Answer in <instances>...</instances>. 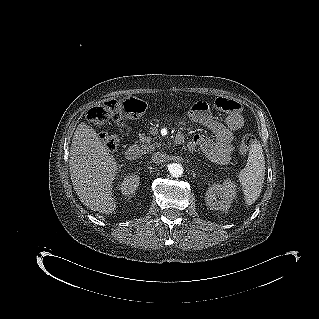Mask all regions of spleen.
Returning <instances> with one entry per match:
<instances>
[{
	"instance_id": "3e777b00",
	"label": "spleen",
	"mask_w": 319,
	"mask_h": 319,
	"mask_svg": "<svg viewBox=\"0 0 319 319\" xmlns=\"http://www.w3.org/2000/svg\"><path fill=\"white\" fill-rule=\"evenodd\" d=\"M265 177V158L261 144H251L246 167L239 173V180L247 204H252L259 197Z\"/></svg>"
}]
</instances>
